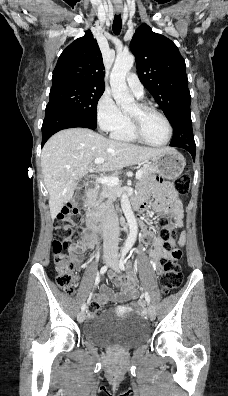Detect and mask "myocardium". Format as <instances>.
<instances>
[{
	"label": "myocardium",
	"instance_id": "1",
	"mask_svg": "<svg viewBox=\"0 0 228 396\" xmlns=\"http://www.w3.org/2000/svg\"><path fill=\"white\" fill-rule=\"evenodd\" d=\"M137 105L142 113L153 112V113H156L157 115H159L164 120V122L167 126L168 135H167L166 140L162 143L156 144V143H152V142L148 141L142 132V129L140 127L138 120L129 115L131 130H132L133 134L135 135V137L142 143L152 146V147L167 146L170 143L172 136H173V128H172L169 118L161 110L157 109L156 107H153V106L145 104V103H138Z\"/></svg>",
	"mask_w": 228,
	"mask_h": 396
}]
</instances>
